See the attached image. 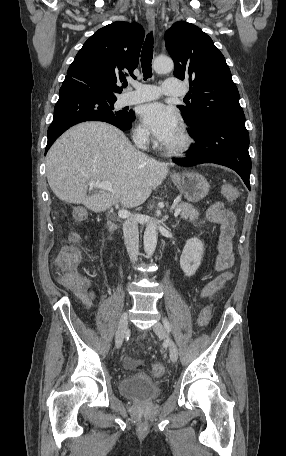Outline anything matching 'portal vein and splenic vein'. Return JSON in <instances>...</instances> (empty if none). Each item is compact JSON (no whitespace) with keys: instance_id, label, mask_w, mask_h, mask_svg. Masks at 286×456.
Instances as JSON below:
<instances>
[{"instance_id":"obj_1","label":"portal vein and splenic vein","mask_w":286,"mask_h":456,"mask_svg":"<svg viewBox=\"0 0 286 456\" xmlns=\"http://www.w3.org/2000/svg\"><path fill=\"white\" fill-rule=\"evenodd\" d=\"M88 185L90 188H96L100 189L103 191H111L112 190V184L108 181H89ZM181 212V208L175 209L174 216H178L179 213ZM118 215L121 218H126L130 215V212L124 209H121L118 211Z\"/></svg>"}]
</instances>
